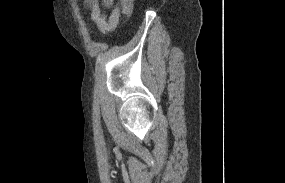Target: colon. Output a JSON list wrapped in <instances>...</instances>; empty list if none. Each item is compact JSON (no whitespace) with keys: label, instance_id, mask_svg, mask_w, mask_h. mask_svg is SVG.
Returning <instances> with one entry per match:
<instances>
[{"label":"colon","instance_id":"obj_1","mask_svg":"<svg viewBox=\"0 0 285 183\" xmlns=\"http://www.w3.org/2000/svg\"><path fill=\"white\" fill-rule=\"evenodd\" d=\"M123 8V12L126 16H131L133 12L134 0H120Z\"/></svg>","mask_w":285,"mask_h":183}]
</instances>
